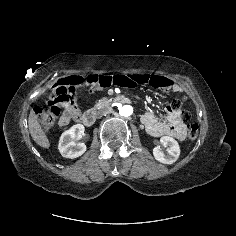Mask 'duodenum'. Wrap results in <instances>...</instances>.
I'll use <instances>...</instances> for the list:
<instances>
[{
	"mask_svg": "<svg viewBox=\"0 0 236 236\" xmlns=\"http://www.w3.org/2000/svg\"><path fill=\"white\" fill-rule=\"evenodd\" d=\"M130 102L131 100L127 96L117 95V96L112 97L110 100H108L104 104H102L100 106V109L108 108L109 105L114 104V103L127 104ZM97 112L98 110L96 109L85 112L83 115H81V118H80L82 123L86 126H92L95 123Z\"/></svg>",
	"mask_w": 236,
	"mask_h": 236,
	"instance_id": "1",
	"label": "duodenum"
}]
</instances>
